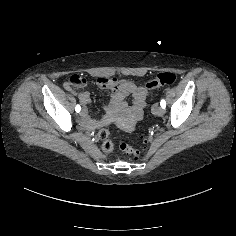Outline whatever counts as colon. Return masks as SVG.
I'll list each match as a JSON object with an SVG mask.
<instances>
[{
	"label": "colon",
	"mask_w": 236,
	"mask_h": 236,
	"mask_svg": "<svg viewBox=\"0 0 236 236\" xmlns=\"http://www.w3.org/2000/svg\"><path fill=\"white\" fill-rule=\"evenodd\" d=\"M176 80V75L173 72L166 71L159 73L154 79L150 80L146 87L151 90L159 89L162 86H167L174 83ZM102 83H106L107 79H100ZM69 83L75 87H82L86 85L87 80L78 74L72 75L69 79ZM99 138L102 141V148L104 152L111 153L113 150V142L109 137V132L106 129H101L98 133ZM148 139L143 138V145L141 147H132L127 143H121L119 148L121 151L130 154V155H139L143 149L145 148V144L147 143Z\"/></svg>",
	"instance_id": "colon-1"
}]
</instances>
